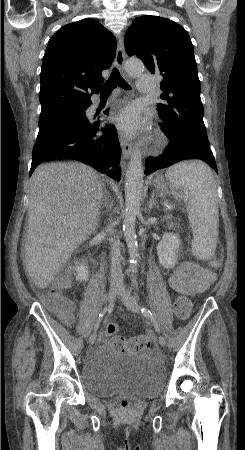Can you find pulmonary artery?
<instances>
[{
	"label": "pulmonary artery",
	"instance_id": "obj_1",
	"mask_svg": "<svg viewBox=\"0 0 245 450\" xmlns=\"http://www.w3.org/2000/svg\"><path fill=\"white\" fill-rule=\"evenodd\" d=\"M155 76L143 74L138 77V93L142 95L152 94L155 91Z\"/></svg>",
	"mask_w": 245,
	"mask_h": 450
}]
</instances>
